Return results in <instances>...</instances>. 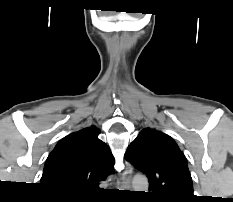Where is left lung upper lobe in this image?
<instances>
[{
  "label": "left lung upper lobe",
  "mask_w": 233,
  "mask_h": 202,
  "mask_svg": "<svg viewBox=\"0 0 233 202\" xmlns=\"http://www.w3.org/2000/svg\"><path fill=\"white\" fill-rule=\"evenodd\" d=\"M125 158L149 179L148 196L156 202H192V178L187 160L175 141L155 129H143Z\"/></svg>",
  "instance_id": "5c2ea615"
}]
</instances>
